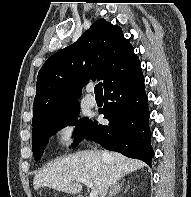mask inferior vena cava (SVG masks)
<instances>
[{
	"instance_id": "obj_1",
	"label": "inferior vena cava",
	"mask_w": 191,
	"mask_h": 197,
	"mask_svg": "<svg viewBox=\"0 0 191 197\" xmlns=\"http://www.w3.org/2000/svg\"><path fill=\"white\" fill-rule=\"evenodd\" d=\"M107 157H108L107 154H106L105 152H103V153H102V158H103V160H106ZM109 187H110V182L108 181V182L106 183V185H105V188H104V191H103L101 197H105L106 192H107V190H108Z\"/></svg>"
}]
</instances>
